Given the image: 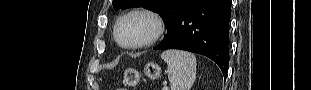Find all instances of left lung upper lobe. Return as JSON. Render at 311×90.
Masks as SVG:
<instances>
[{
  "label": "left lung upper lobe",
  "instance_id": "left-lung-upper-lobe-1",
  "mask_svg": "<svg viewBox=\"0 0 311 90\" xmlns=\"http://www.w3.org/2000/svg\"><path fill=\"white\" fill-rule=\"evenodd\" d=\"M196 0H113L114 9L128 8L133 5L159 13L167 25V33L179 15Z\"/></svg>",
  "mask_w": 311,
  "mask_h": 90
}]
</instances>
